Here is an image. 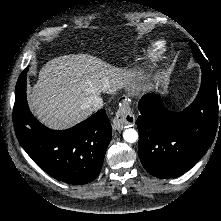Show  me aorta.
Listing matches in <instances>:
<instances>
[{
	"label": "aorta",
	"instance_id": "obj_1",
	"mask_svg": "<svg viewBox=\"0 0 221 221\" xmlns=\"http://www.w3.org/2000/svg\"><path fill=\"white\" fill-rule=\"evenodd\" d=\"M138 132L134 128H128L123 132V138L128 143H134L138 140Z\"/></svg>",
	"mask_w": 221,
	"mask_h": 221
}]
</instances>
